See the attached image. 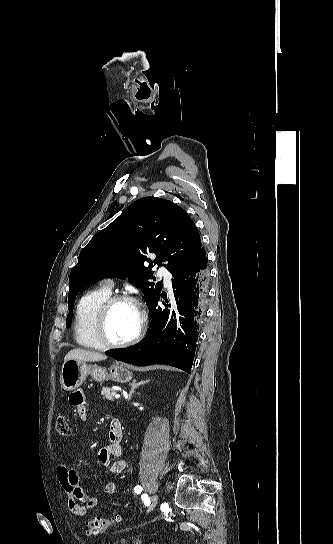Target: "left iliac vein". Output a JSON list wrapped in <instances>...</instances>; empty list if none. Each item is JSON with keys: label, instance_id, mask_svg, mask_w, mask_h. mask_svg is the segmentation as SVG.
Returning a JSON list of instances; mask_svg holds the SVG:
<instances>
[{"label": "left iliac vein", "instance_id": "1", "mask_svg": "<svg viewBox=\"0 0 333 544\" xmlns=\"http://www.w3.org/2000/svg\"><path fill=\"white\" fill-rule=\"evenodd\" d=\"M158 502V496L156 494L152 495L150 505L148 506L147 512L152 511Z\"/></svg>", "mask_w": 333, "mask_h": 544}]
</instances>
